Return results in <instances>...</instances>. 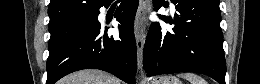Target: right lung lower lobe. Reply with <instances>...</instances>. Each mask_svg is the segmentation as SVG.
Listing matches in <instances>:
<instances>
[{"label":"right lung lower lobe","instance_id":"1","mask_svg":"<svg viewBox=\"0 0 260 84\" xmlns=\"http://www.w3.org/2000/svg\"><path fill=\"white\" fill-rule=\"evenodd\" d=\"M137 8L138 0L121 1L115 13L120 23L119 37L108 36L107 27L99 23L69 36L49 52L47 84H54L63 76L82 69L104 70L128 84H135L137 51L133 21Z\"/></svg>","mask_w":260,"mask_h":84}]
</instances>
